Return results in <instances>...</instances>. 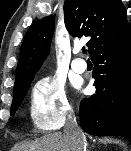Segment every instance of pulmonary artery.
<instances>
[{
    "label": "pulmonary artery",
    "mask_w": 131,
    "mask_h": 151,
    "mask_svg": "<svg viewBox=\"0 0 131 151\" xmlns=\"http://www.w3.org/2000/svg\"><path fill=\"white\" fill-rule=\"evenodd\" d=\"M71 67L76 73H83L87 68V64L84 60L76 58L72 61Z\"/></svg>",
    "instance_id": "e3ab8cb5"
}]
</instances>
